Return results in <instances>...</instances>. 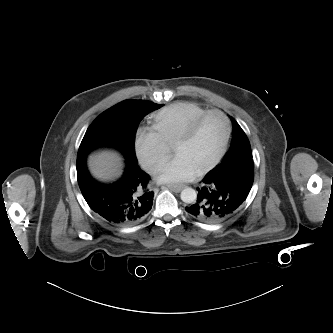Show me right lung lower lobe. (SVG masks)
I'll return each instance as SVG.
<instances>
[{"instance_id":"obj_1","label":"right lung lower lobe","mask_w":333,"mask_h":333,"mask_svg":"<svg viewBox=\"0 0 333 333\" xmlns=\"http://www.w3.org/2000/svg\"><path fill=\"white\" fill-rule=\"evenodd\" d=\"M77 179L90 208L108 222L128 226L143 220L153 205L150 177L137 163L125 161L121 178L112 184L96 181L88 172L86 157L77 156Z\"/></svg>"}]
</instances>
